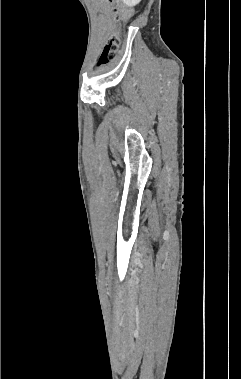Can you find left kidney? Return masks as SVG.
Returning <instances> with one entry per match:
<instances>
[{"instance_id": "1", "label": "left kidney", "mask_w": 241, "mask_h": 379, "mask_svg": "<svg viewBox=\"0 0 241 379\" xmlns=\"http://www.w3.org/2000/svg\"><path fill=\"white\" fill-rule=\"evenodd\" d=\"M124 4H126L129 7H133L137 5L141 0H122Z\"/></svg>"}]
</instances>
